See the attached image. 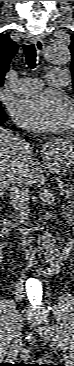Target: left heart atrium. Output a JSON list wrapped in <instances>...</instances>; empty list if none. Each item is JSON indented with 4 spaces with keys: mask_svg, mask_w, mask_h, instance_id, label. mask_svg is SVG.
<instances>
[{
    "mask_svg": "<svg viewBox=\"0 0 74 366\" xmlns=\"http://www.w3.org/2000/svg\"><path fill=\"white\" fill-rule=\"evenodd\" d=\"M11 113L20 126L36 131H58L69 121L70 105L60 93L46 91L16 100Z\"/></svg>",
    "mask_w": 74,
    "mask_h": 366,
    "instance_id": "obj_1",
    "label": "left heart atrium"
}]
</instances>
